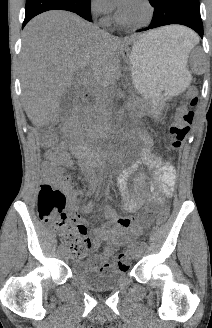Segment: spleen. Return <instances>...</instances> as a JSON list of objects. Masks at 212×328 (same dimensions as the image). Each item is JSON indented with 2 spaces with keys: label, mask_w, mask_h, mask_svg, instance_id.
Wrapping results in <instances>:
<instances>
[{
  "label": "spleen",
  "mask_w": 212,
  "mask_h": 328,
  "mask_svg": "<svg viewBox=\"0 0 212 328\" xmlns=\"http://www.w3.org/2000/svg\"><path fill=\"white\" fill-rule=\"evenodd\" d=\"M198 37L194 32L188 30V36L185 39L184 47L182 48L185 59L187 60L190 51L198 43Z\"/></svg>",
  "instance_id": "1"
}]
</instances>
